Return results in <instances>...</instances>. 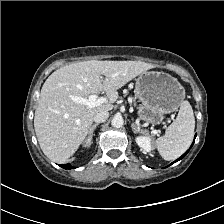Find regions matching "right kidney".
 I'll return each mask as SVG.
<instances>
[{
  "instance_id": "ca27d5eb",
  "label": "right kidney",
  "mask_w": 224,
  "mask_h": 224,
  "mask_svg": "<svg viewBox=\"0 0 224 224\" xmlns=\"http://www.w3.org/2000/svg\"><path fill=\"white\" fill-rule=\"evenodd\" d=\"M91 145V138L87 139L86 141V146H90Z\"/></svg>"
}]
</instances>
